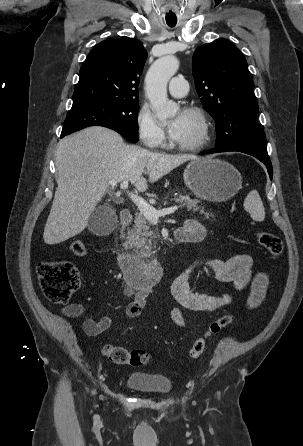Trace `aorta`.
I'll return each mask as SVG.
<instances>
[{
  "label": "aorta",
  "instance_id": "762f6f07",
  "mask_svg": "<svg viewBox=\"0 0 303 446\" xmlns=\"http://www.w3.org/2000/svg\"><path fill=\"white\" fill-rule=\"evenodd\" d=\"M178 68L177 58L167 55L156 60L146 74V95L159 121L173 117L178 111L177 104L167 97V84Z\"/></svg>",
  "mask_w": 303,
  "mask_h": 446
}]
</instances>
